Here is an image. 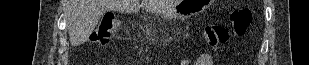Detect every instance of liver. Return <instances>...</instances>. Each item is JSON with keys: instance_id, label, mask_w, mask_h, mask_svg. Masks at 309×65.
Segmentation results:
<instances>
[{"instance_id": "obj_1", "label": "liver", "mask_w": 309, "mask_h": 65, "mask_svg": "<svg viewBox=\"0 0 309 65\" xmlns=\"http://www.w3.org/2000/svg\"><path fill=\"white\" fill-rule=\"evenodd\" d=\"M173 0H68L66 20L70 43L78 46L85 43L105 11L114 10L137 13L140 8L151 13H162L173 8Z\"/></svg>"}]
</instances>
